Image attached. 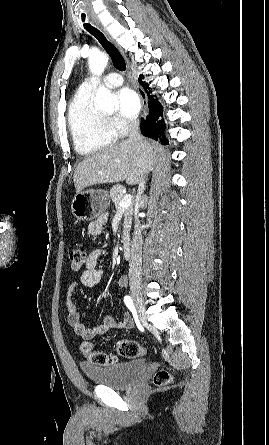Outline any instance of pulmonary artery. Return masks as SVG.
Wrapping results in <instances>:
<instances>
[{
	"label": "pulmonary artery",
	"mask_w": 269,
	"mask_h": 445,
	"mask_svg": "<svg viewBox=\"0 0 269 445\" xmlns=\"http://www.w3.org/2000/svg\"><path fill=\"white\" fill-rule=\"evenodd\" d=\"M103 82L108 87H117L122 85L123 79L118 73H109L103 78ZM98 82L94 77H89L84 80L82 87L94 91Z\"/></svg>",
	"instance_id": "e3ab8cb5"
}]
</instances>
